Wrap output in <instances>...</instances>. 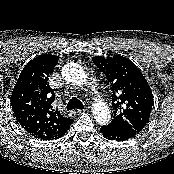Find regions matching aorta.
<instances>
[{"instance_id": "1", "label": "aorta", "mask_w": 174, "mask_h": 174, "mask_svg": "<svg viewBox=\"0 0 174 174\" xmlns=\"http://www.w3.org/2000/svg\"><path fill=\"white\" fill-rule=\"evenodd\" d=\"M63 78L72 84L80 85L86 80V73L83 68L74 62L67 63L62 69ZM93 116L96 122L107 124L110 121L111 114L109 107L102 101L95 103Z\"/></svg>"}]
</instances>
